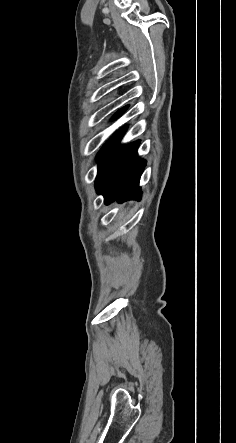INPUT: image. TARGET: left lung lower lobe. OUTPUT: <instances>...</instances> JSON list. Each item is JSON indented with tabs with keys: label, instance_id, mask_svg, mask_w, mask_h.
Listing matches in <instances>:
<instances>
[{
	"label": "left lung lower lobe",
	"instance_id": "1",
	"mask_svg": "<svg viewBox=\"0 0 236 443\" xmlns=\"http://www.w3.org/2000/svg\"><path fill=\"white\" fill-rule=\"evenodd\" d=\"M128 106L120 109L114 118L120 116ZM127 127L117 131L101 148L98 153V174L95 188L104 196L106 204L114 200L140 199V176L145 168L146 161L137 156V147L140 141H135L125 147H120L118 141Z\"/></svg>",
	"mask_w": 236,
	"mask_h": 443
}]
</instances>
